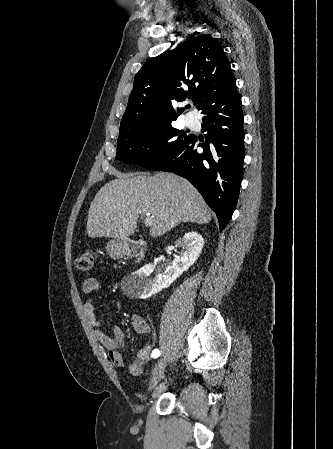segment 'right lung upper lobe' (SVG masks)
Masks as SVG:
<instances>
[{
    "mask_svg": "<svg viewBox=\"0 0 333 449\" xmlns=\"http://www.w3.org/2000/svg\"><path fill=\"white\" fill-rule=\"evenodd\" d=\"M235 81L223 47L209 34L151 58L135 76L118 140L175 120L184 108L176 113L173 104L186 98L197 102L203 112L215 101L237 93Z\"/></svg>",
    "mask_w": 333,
    "mask_h": 449,
    "instance_id": "obj_1",
    "label": "right lung upper lobe"
}]
</instances>
